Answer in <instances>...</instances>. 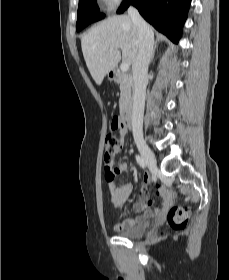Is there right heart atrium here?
<instances>
[{
	"instance_id": "right-heart-atrium-1",
	"label": "right heart atrium",
	"mask_w": 229,
	"mask_h": 280,
	"mask_svg": "<svg viewBox=\"0 0 229 280\" xmlns=\"http://www.w3.org/2000/svg\"><path fill=\"white\" fill-rule=\"evenodd\" d=\"M123 0H100V5L105 11H111L121 5Z\"/></svg>"
}]
</instances>
